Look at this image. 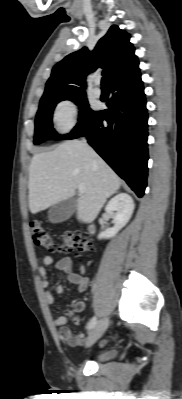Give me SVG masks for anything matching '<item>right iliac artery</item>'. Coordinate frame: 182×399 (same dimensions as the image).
Returning <instances> with one entry per match:
<instances>
[{"label": "right iliac artery", "instance_id": "obj_1", "mask_svg": "<svg viewBox=\"0 0 182 399\" xmlns=\"http://www.w3.org/2000/svg\"><path fill=\"white\" fill-rule=\"evenodd\" d=\"M96 323H97L96 317H92L91 320L89 321L88 325H87V329L88 330L93 329L94 326L96 325Z\"/></svg>", "mask_w": 182, "mask_h": 399}]
</instances>
